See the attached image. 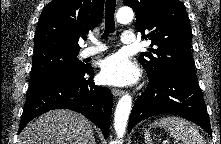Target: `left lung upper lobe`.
Listing matches in <instances>:
<instances>
[{"label": "left lung upper lobe", "mask_w": 221, "mask_h": 144, "mask_svg": "<svg viewBox=\"0 0 221 144\" xmlns=\"http://www.w3.org/2000/svg\"><path fill=\"white\" fill-rule=\"evenodd\" d=\"M123 2L135 11L137 31L155 46L138 58L145 70L150 73L173 71L197 77L191 55L192 30L184 4L179 0Z\"/></svg>", "instance_id": "5c2ea615"}]
</instances>
